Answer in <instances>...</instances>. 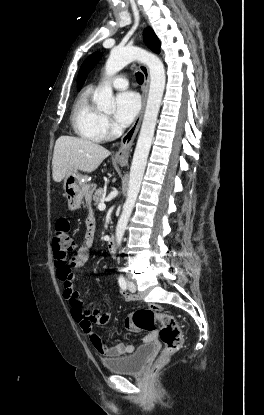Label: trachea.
Here are the masks:
<instances>
[{"instance_id":"trachea-1","label":"trachea","mask_w":264,"mask_h":415,"mask_svg":"<svg viewBox=\"0 0 264 415\" xmlns=\"http://www.w3.org/2000/svg\"><path fill=\"white\" fill-rule=\"evenodd\" d=\"M136 80H137V82H138L139 84H142V83H143V81H144V76H143V74H142V73H140V72H137V73H136Z\"/></svg>"}]
</instances>
